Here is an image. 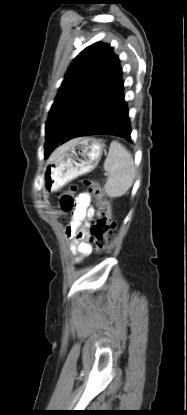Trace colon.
I'll use <instances>...</instances> for the list:
<instances>
[{"mask_svg":"<svg viewBox=\"0 0 187 415\" xmlns=\"http://www.w3.org/2000/svg\"><path fill=\"white\" fill-rule=\"evenodd\" d=\"M84 186L90 189L93 196L101 205V214L89 229V234L93 239L94 248L97 252H100L107 247L116 229V221L113 219L112 215V203L97 182L85 180ZM73 192L74 189L69 193L62 195L60 199V206L65 211H70L76 204Z\"/></svg>","mask_w":187,"mask_h":415,"instance_id":"colon-1","label":"colon"}]
</instances>
